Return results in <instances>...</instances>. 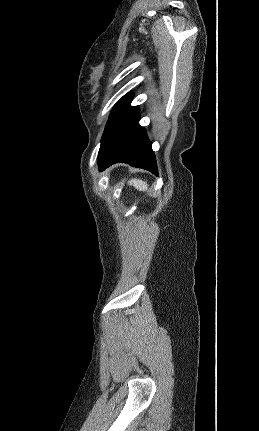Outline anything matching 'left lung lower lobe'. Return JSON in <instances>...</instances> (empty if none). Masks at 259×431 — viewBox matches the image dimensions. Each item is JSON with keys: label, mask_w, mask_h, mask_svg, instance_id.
I'll return each instance as SVG.
<instances>
[{"label": "left lung lower lobe", "mask_w": 259, "mask_h": 431, "mask_svg": "<svg viewBox=\"0 0 259 431\" xmlns=\"http://www.w3.org/2000/svg\"><path fill=\"white\" fill-rule=\"evenodd\" d=\"M138 107L114 129L99 149L98 165L103 171L117 162L143 168L158 175L154 152L146 131L139 125Z\"/></svg>", "instance_id": "1"}]
</instances>
